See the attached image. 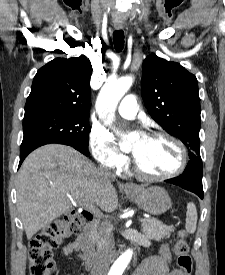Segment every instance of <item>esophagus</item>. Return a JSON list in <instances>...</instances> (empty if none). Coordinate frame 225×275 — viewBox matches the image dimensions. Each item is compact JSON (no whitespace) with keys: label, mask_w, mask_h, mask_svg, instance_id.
<instances>
[{"label":"esophagus","mask_w":225,"mask_h":275,"mask_svg":"<svg viewBox=\"0 0 225 275\" xmlns=\"http://www.w3.org/2000/svg\"><path fill=\"white\" fill-rule=\"evenodd\" d=\"M115 28H116L117 30H120V29H122V26H121V25H117V26H115ZM124 187H125V189H134V188H135V185H134L133 183H126V184L124 185Z\"/></svg>","instance_id":"esophagus-1"}]
</instances>
